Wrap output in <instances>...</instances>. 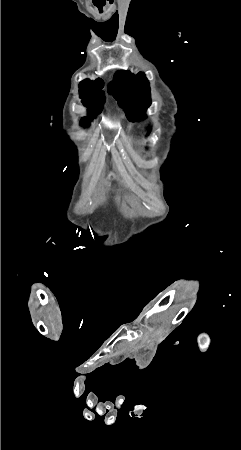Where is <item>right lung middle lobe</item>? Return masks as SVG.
Returning <instances> with one entry per match:
<instances>
[{
  "label": "right lung middle lobe",
  "mask_w": 241,
  "mask_h": 450,
  "mask_svg": "<svg viewBox=\"0 0 241 450\" xmlns=\"http://www.w3.org/2000/svg\"><path fill=\"white\" fill-rule=\"evenodd\" d=\"M103 87L104 83L100 79L95 81L86 79L79 85L80 98H82L84 105L88 107V113L91 117L100 113L103 108L105 102L104 92L101 91Z\"/></svg>",
  "instance_id": "dd1d6c3e"
}]
</instances>
